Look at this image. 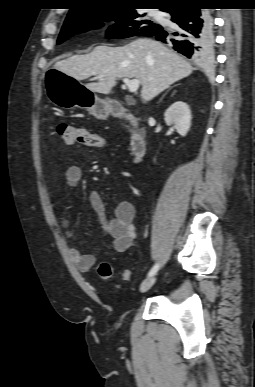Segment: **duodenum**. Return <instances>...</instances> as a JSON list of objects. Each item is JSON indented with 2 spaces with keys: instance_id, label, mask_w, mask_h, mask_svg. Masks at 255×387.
Returning a JSON list of instances; mask_svg holds the SVG:
<instances>
[{
  "instance_id": "obj_1",
  "label": "duodenum",
  "mask_w": 255,
  "mask_h": 387,
  "mask_svg": "<svg viewBox=\"0 0 255 387\" xmlns=\"http://www.w3.org/2000/svg\"><path fill=\"white\" fill-rule=\"evenodd\" d=\"M111 113L117 117L124 115L122 108L116 104L111 106ZM127 118L134 126V131L130 140V153L133 161L139 162L146 152L144 132L137 127L136 120L133 117L127 116Z\"/></svg>"
}]
</instances>
